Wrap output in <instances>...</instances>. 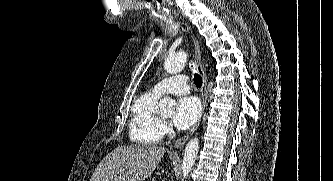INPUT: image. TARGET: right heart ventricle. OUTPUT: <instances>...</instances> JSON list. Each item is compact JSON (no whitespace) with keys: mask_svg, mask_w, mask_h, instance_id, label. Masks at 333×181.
I'll return each mask as SVG.
<instances>
[{"mask_svg":"<svg viewBox=\"0 0 333 181\" xmlns=\"http://www.w3.org/2000/svg\"><path fill=\"white\" fill-rule=\"evenodd\" d=\"M159 95L154 91L140 95L133 103L129 135L132 141L140 144L158 143L161 119L157 113Z\"/></svg>","mask_w":333,"mask_h":181,"instance_id":"right-heart-ventricle-1","label":"right heart ventricle"}]
</instances>
